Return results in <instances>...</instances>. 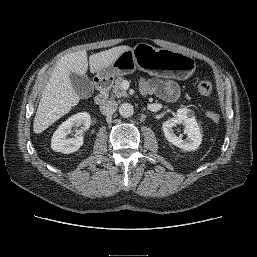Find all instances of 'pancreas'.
<instances>
[{
    "label": "pancreas",
    "mask_w": 257,
    "mask_h": 257,
    "mask_svg": "<svg viewBox=\"0 0 257 257\" xmlns=\"http://www.w3.org/2000/svg\"><path fill=\"white\" fill-rule=\"evenodd\" d=\"M124 78L122 77H118L115 80L114 85L112 86V92H111V97H117V98H121V97H127L128 94L126 92V90L123 88V82H124Z\"/></svg>",
    "instance_id": "obj_1"
}]
</instances>
